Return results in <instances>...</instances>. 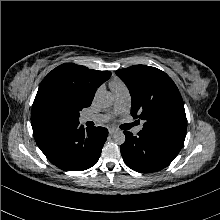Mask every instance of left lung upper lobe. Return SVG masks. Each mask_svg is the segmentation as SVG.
<instances>
[{"label": "left lung upper lobe", "mask_w": 220, "mask_h": 220, "mask_svg": "<svg viewBox=\"0 0 220 220\" xmlns=\"http://www.w3.org/2000/svg\"><path fill=\"white\" fill-rule=\"evenodd\" d=\"M115 73L130 91L132 116L144 121L140 132L180 151L187 119L181 95L172 79L160 69L145 65Z\"/></svg>", "instance_id": "5c2ea615"}]
</instances>
